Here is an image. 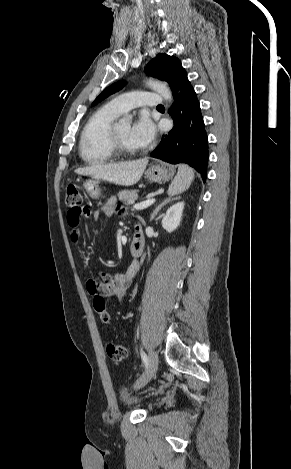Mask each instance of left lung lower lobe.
Wrapping results in <instances>:
<instances>
[{
    "mask_svg": "<svg viewBox=\"0 0 291 469\" xmlns=\"http://www.w3.org/2000/svg\"><path fill=\"white\" fill-rule=\"evenodd\" d=\"M172 93L174 104L168 112L174 120V127L163 136L151 156L171 164H189L205 181L209 158L208 137L197 95L186 72L179 78Z\"/></svg>",
    "mask_w": 291,
    "mask_h": 469,
    "instance_id": "1",
    "label": "left lung lower lobe"
}]
</instances>
